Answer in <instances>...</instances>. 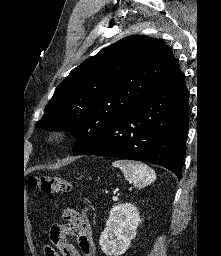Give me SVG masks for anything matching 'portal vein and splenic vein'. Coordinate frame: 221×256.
Masks as SVG:
<instances>
[{
  "mask_svg": "<svg viewBox=\"0 0 221 256\" xmlns=\"http://www.w3.org/2000/svg\"><path fill=\"white\" fill-rule=\"evenodd\" d=\"M112 199H113L114 201H118V197H117V196H113Z\"/></svg>",
  "mask_w": 221,
  "mask_h": 256,
  "instance_id": "1",
  "label": "portal vein and splenic vein"
}]
</instances>
